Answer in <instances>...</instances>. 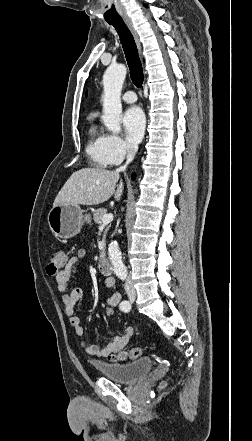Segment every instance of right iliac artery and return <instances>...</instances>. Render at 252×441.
<instances>
[{
	"label": "right iliac artery",
	"mask_w": 252,
	"mask_h": 441,
	"mask_svg": "<svg viewBox=\"0 0 252 441\" xmlns=\"http://www.w3.org/2000/svg\"><path fill=\"white\" fill-rule=\"evenodd\" d=\"M127 304H130V302L127 301V300H124V301L121 302V304H120V309H121L123 312H126L125 307H126Z\"/></svg>",
	"instance_id": "1"
}]
</instances>
